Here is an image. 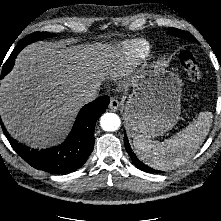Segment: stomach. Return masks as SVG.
Segmentation results:
<instances>
[{"instance_id":"0dacf381","label":"stomach","mask_w":221,"mask_h":221,"mask_svg":"<svg viewBox=\"0 0 221 221\" xmlns=\"http://www.w3.org/2000/svg\"><path fill=\"white\" fill-rule=\"evenodd\" d=\"M181 87L179 78L160 65L137 77L125 106L131 136L151 139L171 130L181 114Z\"/></svg>"}]
</instances>
